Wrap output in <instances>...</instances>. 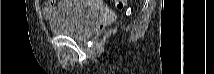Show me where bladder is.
Masks as SVG:
<instances>
[{
    "label": "bladder",
    "mask_w": 214,
    "mask_h": 74,
    "mask_svg": "<svg viewBox=\"0 0 214 74\" xmlns=\"http://www.w3.org/2000/svg\"><path fill=\"white\" fill-rule=\"evenodd\" d=\"M70 2L75 5L57 9L56 15L50 21L51 30L56 35L85 40L97 28L101 14L85 2Z\"/></svg>",
    "instance_id": "bladder-1"
}]
</instances>
